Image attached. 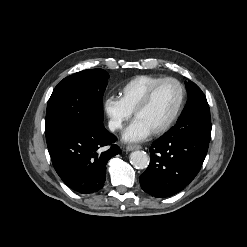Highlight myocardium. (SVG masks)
<instances>
[{
    "mask_svg": "<svg viewBox=\"0 0 247 247\" xmlns=\"http://www.w3.org/2000/svg\"><path fill=\"white\" fill-rule=\"evenodd\" d=\"M166 83H174L178 86V88L180 90V99H179L178 106H177L175 112L173 113V115L170 117V119L163 126L154 130L152 132L153 135H162V134L166 133L168 130L171 129V127L178 120V118H179V116H180V114L184 108L185 101H186V89H185V86L183 85V83L181 81H179L178 79L173 78V77H166V78L162 79L161 81H159L158 83L153 85L148 90V92L145 94L143 99L140 101V103L136 106L135 110L133 111L134 116L136 117L142 110L147 108L149 106V104L151 103L153 97L155 96L156 92L160 89L161 86H163Z\"/></svg>",
    "mask_w": 247,
    "mask_h": 247,
    "instance_id": "obj_1",
    "label": "myocardium"
}]
</instances>
